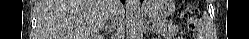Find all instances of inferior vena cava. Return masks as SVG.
<instances>
[{
  "instance_id": "inferior-vena-cava-1",
  "label": "inferior vena cava",
  "mask_w": 249,
  "mask_h": 39,
  "mask_svg": "<svg viewBox=\"0 0 249 39\" xmlns=\"http://www.w3.org/2000/svg\"><path fill=\"white\" fill-rule=\"evenodd\" d=\"M118 1V0H117ZM115 15H117V11H116V8H115V5H114V9H113V11L106 17V19H105V23H104V26H105V24L108 22V21H110V20H112L114 17H115ZM103 26V27H104ZM96 38V37H95Z\"/></svg>"
}]
</instances>
